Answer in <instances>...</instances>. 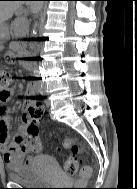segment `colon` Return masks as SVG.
<instances>
[{"label": "colon", "instance_id": "1", "mask_svg": "<svg viewBox=\"0 0 137 189\" xmlns=\"http://www.w3.org/2000/svg\"><path fill=\"white\" fill-rule=\"evenodd\" d=\"M13 82V76L8 68L0 67V99H8L10 97V87ZM26 114L30 120L27 128L26 135L23 139L24 145L29 149L39 150L41 142L39 138V129L37 122L43 116L44 106L42 103L37 102L26 106ZM64 146L72 150L73 156L69 157L64 162V172L67 175H75L78 169L77 155L83 152L80 144L72 139H66ZM92 170L87 168L82 173V178L87 180L91 177Z\"/></svg>", "mask_w": 137, "mask_h": 189}]
</instances>
